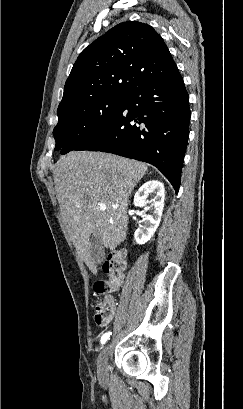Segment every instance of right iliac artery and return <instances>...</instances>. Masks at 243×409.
<instances>
[{"mask_svg":"<svg viewBox=\"0 0 243 409\" xmlns=\"http://www.w3.org/2000/svg\"><path fill=\"white\" fill-rule=\"evenodd\" d=\"M111 334H112L111 332L105 333L101 338V343L105 344L106 341L110 338Z\"/></svg>","mask_w":243,"mask_h":409,"instance_id":"1","label":"right iliac artery"}]
</instances>
